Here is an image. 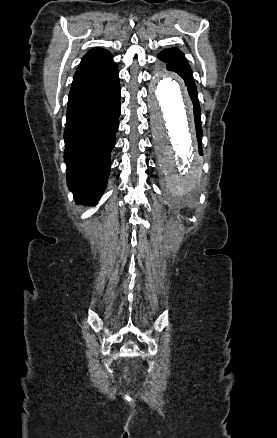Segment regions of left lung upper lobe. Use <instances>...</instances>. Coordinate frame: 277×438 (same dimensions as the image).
<instances>
[{
  "label": "left lung upper lobe",
  "instance_id": "obj_1",
  "mask_svg": "<svg viewBox=\"0 0 277 438\" xmlns=\"http://www.w3.org/2000/svg\"><path fill=\"white\" fill-rule=\"evenodd\" d=\"M158 58L167 64V69L174 71L184 79L190 98L193 102L194 115L200 114L198 94L194 83L192 70L184 54L177 48L164 49Z\"/></svg>",
  "mask_w": 277,
  "mask_h": 438
}]
</instances>
